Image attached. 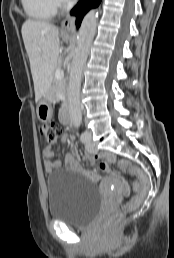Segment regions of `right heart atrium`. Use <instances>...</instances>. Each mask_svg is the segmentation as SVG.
<instances>
[{"instance_id": "d8ad5b80", "label": "right heart atrium", "mask_w": 174, "mask_h": 258, "mask_svg": "<svg viewBox=\"0 0 174 258\" xmlns=\"http://www.w3.org/2000/svg\"><path fill=\"white\" fill-rule=\"evenodd\" d=\"M56 7H63L67 3V0H54Z\"/></svg>"}]
</instances>
